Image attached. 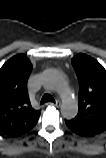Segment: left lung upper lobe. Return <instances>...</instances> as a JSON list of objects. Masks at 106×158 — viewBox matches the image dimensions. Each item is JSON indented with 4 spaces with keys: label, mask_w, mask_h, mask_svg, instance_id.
Masks as SVG:
<instances>
[{
    "label": "left lung upper lobe",
    "mask_w": 106,
    "mask_h": 158,
    "mask_svg": "<svg viewBox=\"0 0 106 158\" xmlns=\"http://www.w3.org/2000/svg\"><path fill=\"white\" fill-rule=\"evenodd\" d=\"M79 81L78 114L66 125L76 134L91 137L106 130V70L94 58L77 54L72 59Z\"/></svg>",
    "instance_id": "5c2ea615"
}]
</instances>
